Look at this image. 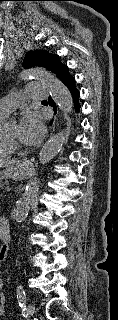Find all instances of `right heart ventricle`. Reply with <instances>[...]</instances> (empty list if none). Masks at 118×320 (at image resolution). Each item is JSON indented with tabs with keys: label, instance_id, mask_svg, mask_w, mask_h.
Returning a JSON list of instances; mask_svg holds the SVG:
<instances>
[{
	"label": "right heart ventricle",
	"instance_id": "right-heart-ventricle-1",
	"mask_svg": "<svg viewBox=\"0 0 118 320\" xmlns=\"http://www.w3.org/2000/svg\"><path fill=\"white\" fill-rule=\"evenodd\" d=\"M6 116L0 113V128L5 120ZM13 152L11 148H9L0 137V157H5L10 155Z\"/></svg>",
	"mask_w": 118,
	"mask_h": 320
}]
</instances>
